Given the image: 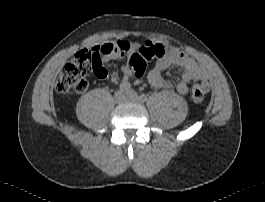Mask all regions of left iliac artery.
Returning a JSON list of instances; mask_svg holds the SVG:
<instances>
[{
    "label": "left iliac artery",
    "instance_id": "left-iliac-artery-1",
    "mask_svg": "<svg viewBox=\"0 0 265 202\" xmlns=\"http://www.w3.org/2000/svg\"><path fill=\"white\" fill-rule=\"evenodd\" d=\"M139 98H140V100H141L142 102L147 101V95H146V94H141Z\"/></svg>",
    "mask_w": 265,
    "mask_h": 202
}]
</instances>
